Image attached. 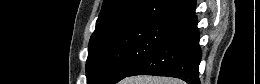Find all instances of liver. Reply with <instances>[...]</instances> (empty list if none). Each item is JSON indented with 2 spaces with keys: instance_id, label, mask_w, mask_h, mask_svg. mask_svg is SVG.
Instances as JSON below:
<instances>
[{
  "instance_id": "liver-1",
  "label": "liver",
  "mask_w": 260,
  "mask_h": 84,
  "mask_svg": "<svg viewBox=\"0 0 260 84\" xmlns=\"http://www.w3.org/2000/svg\"><path fill=\"white\" fill-rule=\"evenodd\" d=\"M177 79L165 77L138 76L125 81V84H180Z\"/></svg>"
}]
</instances>
